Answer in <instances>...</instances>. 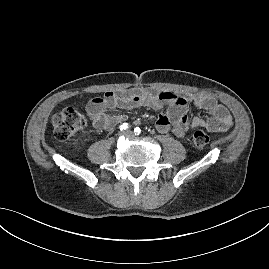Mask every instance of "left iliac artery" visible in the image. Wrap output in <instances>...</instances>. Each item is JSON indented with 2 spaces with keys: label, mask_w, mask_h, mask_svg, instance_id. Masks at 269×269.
Returning a JSON list of instances; mask_svg holds the SVG:
<instances>
[{
  "label": "left iliac artery",
  "mask_w": 269,
  "mask_h": 269,
  "mask_svg": "<svg viewBox=\"0 0 269 269\" xmlns=\"http://www.w3.org/2000/svg\"><path fill=\"white\" fill-rule=\"evenodd\" d=\"M134 133H135V135H139L141 133V129L139 127H136L134 129Z\"/></svg>",
  "instance_id": "44dca946"
}]
</instances>
